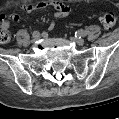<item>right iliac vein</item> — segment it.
I'll return each instance as SVG.
<instances>
[{
  "mask_svg": "<svg viewBox=\"0 0 119 119\" xmlns=\"http://www.w3.org/2000/svg\"><path fill=\"white\" fill-rule=\"evenodd\" d=\"M39 38H40L39 36L33 37L32 42H33V43L37 42V41L39 40Z\"/></svg>",
  "mask_w": 119,
  "mask_h": 119,
  "instance_id": "right-iliac-vein-1",
  "label": "right iliac vein"
}]
</instances>
